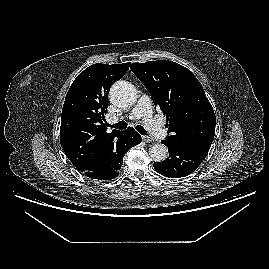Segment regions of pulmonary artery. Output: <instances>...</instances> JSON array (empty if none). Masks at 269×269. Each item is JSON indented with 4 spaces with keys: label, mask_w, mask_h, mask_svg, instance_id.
I'll use <instances>...</instances> for the list:
<instances>
[{
    "label": "pulmonary artery",
    "mask_w": 269,
    "mask_h": 269,
    "mask_svg": "<svg viewBox=\"0 0 269 269\" xmlns=\"http://www.w3.org/2000/svg\"><path fill=\"white\" fill-rule=\"evenodd\" d=\"M152 103L151 99L147 95L140 97L138 103L131 111L130 119H142L145 128L154 138H162L166 135V129L157 121L152 118ZM119 121L117 117H110V123H116Z\"/></svg>",
    "instance_id": "e3ab8cb5"
}]
</instances>
